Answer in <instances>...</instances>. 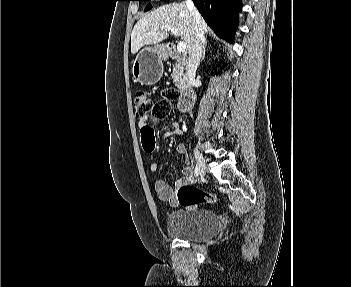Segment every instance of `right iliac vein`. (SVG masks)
<instances>
[{
    "label": "right iliac vein",
    "mask_w": 351,
    "mask_h": 287,
    "mask_svg": "<svg viewBox=\"0 0 351 287\" xmlns=\"http://www.w3.org/2000/svg\"><path fill=\"white\" fill-rule=\"evenodd\" d=\"M194 154H195L196 165L199 170V174L201 177H204L206 175V164H205L204 157L197 149H194Z\"/></svg>",
    "instance_id": "63e3f726"
}]
</instances>
